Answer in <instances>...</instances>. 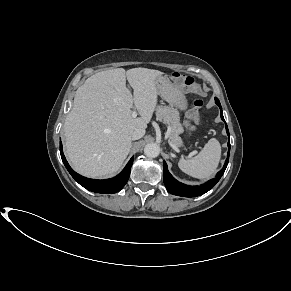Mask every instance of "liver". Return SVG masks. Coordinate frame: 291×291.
Segmentation results:
<instances>
[{"label": "liver", "instance_id": "1", "mask_svg": "<svg viewBox=\"0 0 291 291\" xmlns=\"http://www.w3.org/2000/svg\"><path fill=\"white\" fill-rule=\"evenodd\" d=\"M158 70L123 68L98 72L80 86L64 123L68 159L78 173L103 177L120 169L135 129H146L157 106ZM126 78L133 96L126 87ZM140 117H132L131 108Z\"/></svg>", "mask_w": 291, "mask_h": 291}]
</instances>
